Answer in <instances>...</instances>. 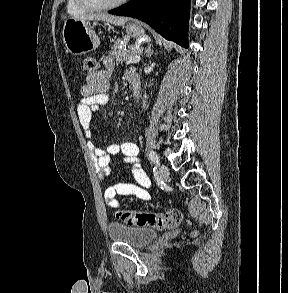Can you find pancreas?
Returning <instances> with one entry per match:
<instances>
[{"label":"pancreas","instance_id":"pancreas-1","mask_svg":"<svg viewBox=\"0 0 288 293\" xmlns=\"http://www.w3.org/2000/svg\"><path fill=\"white\" fill-rule=\"evenodd\" d=\"M126 45L127 41L117 39L114 42L112 50L109 52V55L113 56L117 62H123L131 58L133 55H139L140 51L137 50L133 45L127 46V50Z\"/></svg>","mask_w":288,"mask_h":293}]
</instances>
